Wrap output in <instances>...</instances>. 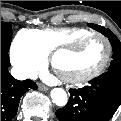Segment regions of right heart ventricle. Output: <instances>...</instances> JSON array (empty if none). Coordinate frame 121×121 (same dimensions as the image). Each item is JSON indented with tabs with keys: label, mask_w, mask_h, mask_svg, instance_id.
Wrapping results in <instances>:
<instances>
[{
	"label": "right heart ventricle",
	"mask_w": 121,
	"mask_h": 121,
	"mask_svg": "<svg viewBox=\"0 0 121 121\" xmlns=\"http://www.w3.org/2000/svg\"><path fill=\"white\" fill-rule=\"evenodd\" d=\"M61 36L59 31L51 28L26 29L19 34L18 45L30 47L46 56L58 48Z\"/></svg>",
	"instance_id": "e07e8e85"
}]
</instances>
